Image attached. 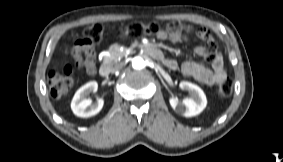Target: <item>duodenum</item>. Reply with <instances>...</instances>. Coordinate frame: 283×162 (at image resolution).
Listing matches in <instances>:
<instances>
[{
	"mask_svg": "<svg viewBox=\"0 0 283 162\" xmlns=\"http://www.w3.org/2000/svg\"><path fill=\"white\" fill-rule=\"evenodd\" d=\"M144 50L147 55L152 58L163 60L162 52L152 44H147L144 46ZM110 72V67L108 65H103L100 69V75L103 77H107Z\"/></svg>",
	"mask_w": 283,
	"mask_h": 162,
	"instance_id": "obj_1",
	"label": "duodenum"
}]
</instances>
